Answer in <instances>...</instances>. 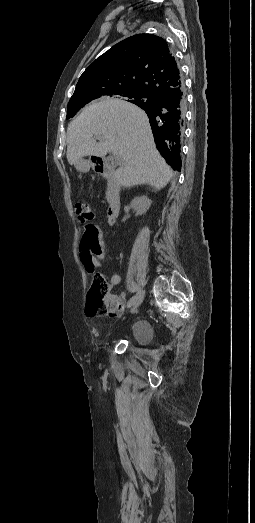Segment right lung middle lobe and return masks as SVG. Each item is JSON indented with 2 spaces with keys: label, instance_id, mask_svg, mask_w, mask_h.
Masks as SVG:
<instances>
[{
  "label": "right lung middle lobe",
  "instance_id": "dd1d6c3e",
  "mask_svg": "<svg viewBox=\"0 0 255 523\" xmlns=\"http://www.w3.org/2000/svg\"><path fill=\"white\" fill-rule=\"evenodd\" d=\"M117 98H124L128 102H136V101H142L146 100L148 98V95L144 92L139 91H131V92H125L118 96ZM85 104H79V105H71L67 107V116L66 118L73 117L82 107H84Z\"/></svg>",
  "mask_w": 255,
  "mask_h": 523
}]
</instances>
